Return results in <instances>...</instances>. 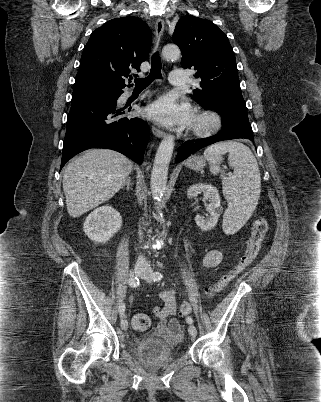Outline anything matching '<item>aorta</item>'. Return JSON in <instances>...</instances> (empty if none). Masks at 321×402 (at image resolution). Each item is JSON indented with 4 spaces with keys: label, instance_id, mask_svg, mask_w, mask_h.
<instances>
[{
    "label": "aorta",
    "instance_id": "762f6f07",
    "mask_svg": "<svg viewBox=\"0 0 321 402\" xmlns=\"http://www.w3.org/2000/svg\"><path fill=\"white\" fill-rule=\"evenodd\" d=\"M162 56L166 60L178 59L180 56V49L176 45H166L162 50ZM174 145V136L166 135L156 152L151 174L150 188L153 198L158 201V209L161 208L160 201L166 190L168 167L173 154Z\"/></svg>",
    "mask_w": 321,
    "mask_h": 402
}]
</instances>
